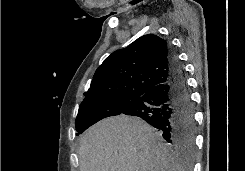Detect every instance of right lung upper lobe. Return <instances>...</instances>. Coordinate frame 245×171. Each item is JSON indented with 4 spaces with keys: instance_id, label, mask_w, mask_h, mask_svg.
Instances as JSON below:
<instances>
[{
    "instance_id": "obj_1",
    "label": "right lung upper lobe",
    "mask_w": 245,
    "mask_h": 171,
    "mask_svg": "<svg viewBox=\"0 0 245 171\" xmlns=\"http://www.w3.org/2000/svg\"><path fill=\"white\" fill-rule=\"evenodd\" d=\"M169 44L155 34L144 35L113 52L96 70L84 101L118 95L141 97L169 78Z\"/></svg>"
}]
</instances>
